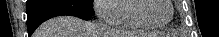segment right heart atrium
Here are the masks:
<instances>
[{"label": "right heart atrium", "instance_id": "right-heart-atrium-1", "mask_svg": "<svg viewBox=\"0 0 219 37\" xmlns=\"http://www.w3.org/2000/svg\"><path fill=\"white\" fill-rule=\"evenodd\" d=\"M120 0H96L94 2V8L98 16L110 23L115 24L121 17Z\"/></svg>", "mask_w": 219, "mask_h": 37}]
</instances>
